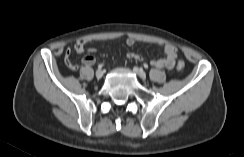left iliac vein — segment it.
Instances as JSON below:
<instances>
[{"label": "left iliac vein", "instance_id": "left-iliac-vein-1", "mask_svg": "<svg viewBox=\"0 0 244 157\" xmlns=\"http://www.w3.org/2000/svg\"><path fill=\"white\" fill-rule=\"evenodd\" d=\"M133 71L141 78H145L146 77V73L143 71V69L138 68V67H134Z\"/></svg>", "mask_w": 244, "mask_h": 157}]
</instances>
